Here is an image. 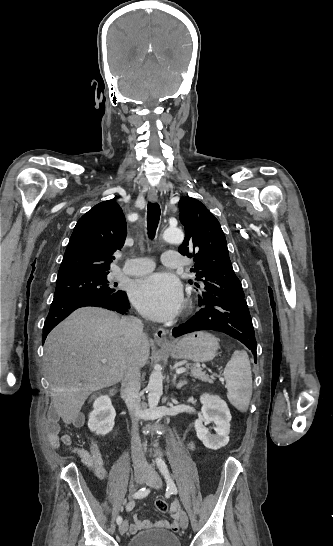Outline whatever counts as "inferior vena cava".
I'll list each match as a JSON object with an SVG mask.
<instances>
[{"instance_id":"1","label":"inferior vena cava","mask_w":333,"mask_h":546,"mask_svg":"<svg viewBox=\"0 0 333 546\" xmlns=\"http://www.w3.org/2000/svg\"><path fill=\"white\" fill-rule=\"evenodd\" d=\"M120 325L123 330L125 340L129 343L130 351L135 354L140 347L143 334V323L136 317H126L121 319ZM140 368L134 360L131 361L122 380L121 394L128 408L132 421V459L134 468L147 467V461L144 457L140 437L138 434V421L142 416L140 406Z\"/></svg>"}]
</instances>
